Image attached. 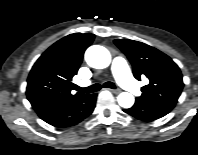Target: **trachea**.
<instances>
[{
    "instance_id": "obj_1",
    "label": "trachea",
    "mask_w": 198,
    "mask_h": 155,
    "mask_svg": "<svg viewBox=\"0 0 198 155\" xmlns=\"http://www.w3.org/2000/svg\"><path fill=\"white\" fill-rule=\"evenodd\" d=\"M103 87L105 88H111V89H115L116 86L114 83L112 82H105L103 84ZM101 89V85L100 84H94L92 86H89L87 88H81V87H76V90L83 92V93H94L97 92Z\"/></svg>"
}]
</instances>
